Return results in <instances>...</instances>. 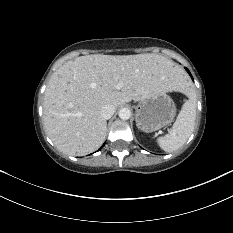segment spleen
Masks as SVG:
<instances>
[{"label": "spleen", "mask_w": 233, "mask_h": 233, "mask_svg": "<svg viewBox=\"0 0 233 233\" xmlns=\"http://www.w3.org/2000/svg\"><path fill=\"white\" fill-rule=\"evenodd\" d=\"M188 95L189 99L184 103L170 132L157 139L161 149L166 152H173L181 148L194 130L196 119L195 96L192 92H189Z\"/></svg>", "instance_id": "spleen-1"}]
</instances>
